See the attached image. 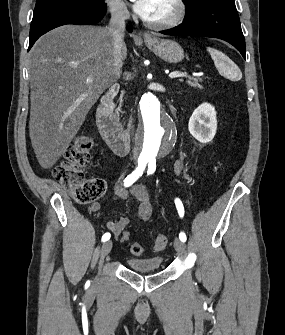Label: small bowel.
Segmentation results:
<instances>
[{
    "mask_svg": "<svg viewBox=\"0 0 285 335\" xmlns=\"http://www.w3.org/2000/svg\"><path fill=\"white\" fill-rule=\"evenodd\" d=\"M182 169V164L178 162L176 164V171L180 172ZM124 178H120L114 188L113 199L115 201H122L133 196L138 202V210L136 220L138 223L146 222L150 219L152 214V206L149 194L143 185H134L130 191H128L124 186ZM99 210V204L94 203L89 208V212H96ZM129 219L127 217L121 216L116 219L110 220L106 223V227L113 235L118 236L124 228L128 225Z\"/></svg>",
    "mask_w": 285,
    "mask_h": 335,
    "instance_id": "small-bowel-1",
    "label": "small bowel"
}]
</instances>
